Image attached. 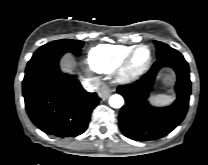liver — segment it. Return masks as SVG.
<instances>
[{
	"instance_id": "obj_1",
	"label": "liver",
	"mask_w": 208,
	"mask_h": 165,
	"mask_svg": "<svg viewBox=\"0 0 208 165\" xmlns=\"http://www.w3.org/2000/svg\"><path fill=\"white\" fill-rule=\"evenodd\" d=\"M72 63L69 60H64L62 64V69L65 71H69L72 68Z\"/></svg>"
}]
</instances>
